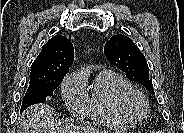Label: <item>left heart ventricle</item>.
Segmentation results:
<instances>
[{
  "label": "left heart ventricle",
  "mask_w": 184,
  "mask_h": 133,
  "mask_svg": "<svg viewBox=\"0 0 184 133\" xmlns=\"http://www.w3.org/2000/svg\"><path fill=\"white\" fill-rule=\"evenodd\" d=\"M132 107L134 110L136 111H140L142 106L140 104V102L138 100H134L133 103H132Z\"/></svg>",
  "instance_id": "b2bd125f"
}]
</instances>
